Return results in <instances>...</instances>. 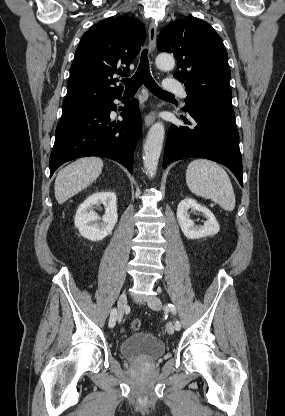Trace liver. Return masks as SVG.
<instances>
[{"instance_id":"6515ba94","label":"liver","mask_w":285,"mask_h":416,"mask_svg":"<svg viewBox=\"0 0 285 416\" xmlns=\"http://www.w3.org/2000/svg\"><path fill=\"white\" fill-rule=\"evenodd\" d=\"M103 168L100 158H80L60 170L55 180V198L58 204L76 196L99 178Z\"/></svg>"}]
</instances>
